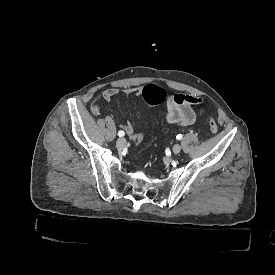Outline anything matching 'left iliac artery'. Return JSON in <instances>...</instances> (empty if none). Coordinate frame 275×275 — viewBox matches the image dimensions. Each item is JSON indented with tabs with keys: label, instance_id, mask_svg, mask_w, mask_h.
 I'll return each mask as SVG.
<instances>
[{
	"label": "left iliac artery",
	"instance_id": "obj_1",
	"mask_svg": "<svg viewBox=\"0 0 275 275\" xmlns=\"http://www.w3.org/2000/svg\"><path fill=\"white\" fill-rule=\"evenodd\" d=\"M183 138V136L181 135V134H178L177 136H176V139L177 140H181Z\"/></svg>",
	"mask_w": 275,
	"mask_h": 275
}]
</instances>
